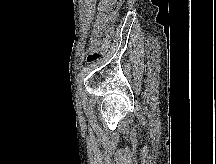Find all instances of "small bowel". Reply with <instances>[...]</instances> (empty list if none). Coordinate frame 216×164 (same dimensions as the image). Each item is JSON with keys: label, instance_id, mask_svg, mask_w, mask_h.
Here are the masks:
<instances>
[{"label": "small bowel", "instance_id": "1", "mask_svg": "<svg viewBox=\"0 0 216 164\" xmlns=\"http://www.w3.org/2000/svg\"><path fill=\"white\" fill-rule=\"evenodd\" d=\"M114 0H100L98 4V14L94 24V30L103 26L108 19L111 5Z\"/></svg>", "mask_w": 216, "mask_h": 164}]
</instances>
